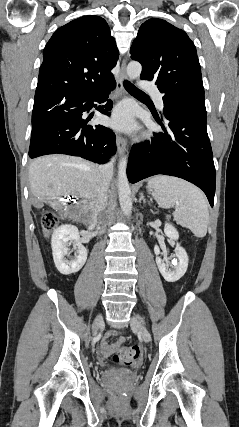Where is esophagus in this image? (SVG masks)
<instances>
[{"instance_id":"obj_1","label":"esophagus","mask_w":239,"mask_h":427,"mask_svg":"<svg viewBox=\"0 0 239 427\" xmlns=\"http://www.w3.org/2000/svg\"><path fill=\"white\" fill-rule=\"evenodd\" d=\"M127 79H128V76L126 73V60L124 59L121 64L120 77L117 80V90L119 95L124 94L125 92L124 81ZM116 144H117V150L119 155H123L127 145L126 140L122 136L117 135Z\"/></svg>"}]
</instances>
